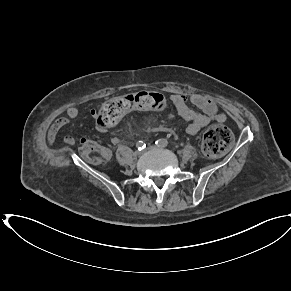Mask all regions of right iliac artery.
Instances as JSON below:
<instances>
[{
    "label": "right iliac artery",
    "instance_id": "right-iliac-artery-1",
    "mask_svg": "<svg viewBox=\"0 0 291 291\" xmlns=\"http://www.w3.org/2000/svg\"><path fill=\"white\" fill-rule=\"evenodd\" d=\"M136 146H137L138 150L141 151V150L145 149L146 144L143 141H138Z\"/></svg>",
    "mask_w": 291,
    "mask_h": 291
}]
</instances>
